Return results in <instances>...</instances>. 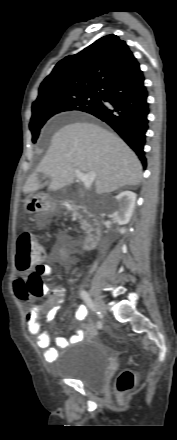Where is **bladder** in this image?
I'll return each mask as SVG.
<instances>
[{
  "label": "bladder",
  "mask_w": 177,
  "mask_h": 440,
  "mask_svg": "<svg viewBox=\"0 0 177 440\" xmlns=\"http://www.w3.org/2000/svg\"><path fill=\"white\" fill-rule=\"evenodd\" d=\"M110 369L109 357L93 339L77 342L62 359L58 374L77 380L86 388L100 389Z\"/></svg>",
  "instance_id": "31cf9c89"
}]
</instances>
